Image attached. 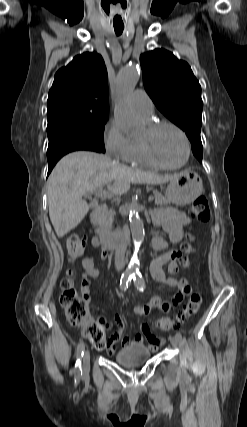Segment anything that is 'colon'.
<instances>
[{
    "label": "colon",
    "instance_id": "colon-1",
    "mask_svg": "<svg viewBox=\"0 0 247 427\" xmlns=\"http://www.w3.org/2000/svg\"><path fill=\"white\" fill-rule=\"evenodd\" d=\"M190 215L201 222H207L210 219V208L206 197L196 198L192 204ZM67 255L71 262L78 260L84 252L85 240L78 235L71 236L67 241ZM183 253L181 261L184 266L189 265V255L194 252L190 241L182 247ZM74 271L69 270L67 277L61 281L60 306L69 323L79 328L84 337H86L96 349H106L108 341L105 338L104 328L101 324L89 319L87 301L79 295L73 279ZM202 304V295L196 290L193 292L183 308L178 314L171 317H163L157 320V326L164 331H172L182 327L191 319L200 309Z\"/></svg>",
    "mask_w": 247,
    "mask_h": 427
}]
</instances>
